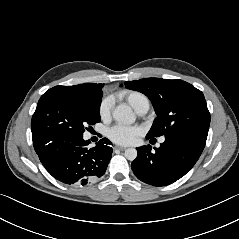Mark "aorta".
<instances>
[{"label": "aorta", "instance_id": "aorta-1", "mask_svg": "<svg viewBox=\"0 0 239 239\" xmlns=\"http://www.w3.org/2000/svg\"><path fill=\"white\" fill-rule=\"evenodd\" d=\"M114 120L118 123L122 124H132L135 122V115L130 107L126 105H119L117 106L112 113ZM124 156L133 161L137 157V150L135 148H128L124 152Z\"/></svg>", "mask_w": 239, "mask_h": 239}]
</instances>
